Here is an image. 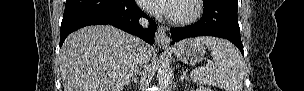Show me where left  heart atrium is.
I'll return each instance as SVG.
<instances>
[{"label": "left heart atrium", "instance_id": "obj_1", "mask_svg": "<svg viewBox=\"0 0 304 91\" xmlns=\"http://www.w3.org/2000/svg\"><path fill=\"white\" fill-rule=\"evenodd\" d=\"M175 0H142L141 6L149 11L171 16Z\"/></svg>", "mask_w": 304, "mask_h": 91}]
</instances>
